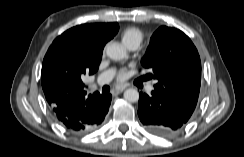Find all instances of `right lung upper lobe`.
Segmentation results:
<instances>
[{
    "instance_id": "obj_1",
    "label": "right lung upper lobe",
    "mask_w": 244,
    "mask_h": 157,
    "mask_svg": "<svg viewBox=\"0 0 244 157\" xmlns=\"http://www.w3.org/2000/svg\"><path fill=\"white\" fill-rule=\"evenodd\" d=\"M118 30V23L83 24L53 41L41 71L42 88L49 104L86 97L82 77L97 71L105 44Z\"/></svg>"
}]
</instances>
